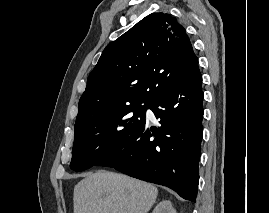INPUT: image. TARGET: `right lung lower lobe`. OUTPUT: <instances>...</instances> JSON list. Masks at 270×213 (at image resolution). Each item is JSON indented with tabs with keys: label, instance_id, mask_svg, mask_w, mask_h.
Instances as JSON below:
<instances>
[{
	"label": "right lung lower lobe",
	"instance_id": "1",
	"mask_svg": "<svg viewBox=\"0 0 270 213\" xmlns=\"http://www.w3.org/2000/svg\"><path fill=\"white\" fill-rule=\"evenodd\" d=\"M202 76L198 66L150 106L160 127L145 123L102 159L131 177L164 185L195 202L203 134Z\"/></svg>",
	"mask_w": 270,
	"mask_h": 213
}]
</instances>
